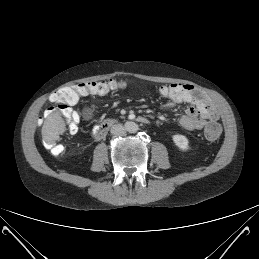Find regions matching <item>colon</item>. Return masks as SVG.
Listing matches in <instances>:
<instances>
[{"label": "colon", "mask_w": 259, "mask_h": 259, "mask_svg": "<svg viewBox=\"0 0 259 259\" xmlns=\"http://www.w3.org/2000/svg\"><path fill=\"white\" fill-rule=\"evenodd\" d=\"M125 87L121 80H95L78 84L74 87H64L51 96V101L58 104V108L65 119L71 132H75L79 121L78 114L71 108L80 98L88 93L104 95L110 91L119 90ZM159 93L164 97H178L182 102L190 99L199 101L206 98V91L199 86L189 84H170L159 87ZM221 135V127L216 122H209L204 130V136L208 141H216ZM50 150L54 154H61L63 146L52 144Z\"/></svg>", "instance_id": "colon-1"}]
</instances>
